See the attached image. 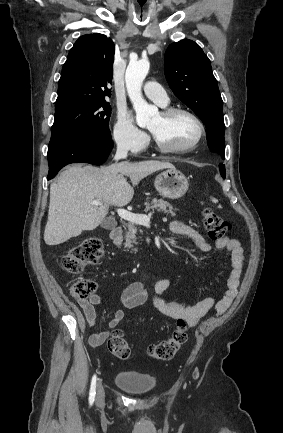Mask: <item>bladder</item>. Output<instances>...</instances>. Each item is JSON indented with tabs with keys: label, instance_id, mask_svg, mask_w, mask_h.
<instances>
[{
	"label": "bladder",
	"instance_id": "1",
	"mask_svg": "<svg viewBox=\"0 0 283 433\" xmlns=\"http://www.w3.org/2000/svg\"><path fill=\"white\" fill-rule=\"evenodd\" d=\"M115 383L129 393H147L156 385L155 375L122 369L118 372Z\"/></svg>",
	"mask_w": 283,
	"mask_h": 433
}]
</instances>
